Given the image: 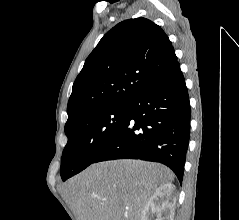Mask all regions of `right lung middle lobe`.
<instances>
[{"label":"right lung middle lobe","mask_w":239,"mask_h":220,"mask_svg":"<svg viewBox=\"0 0 239 220\" xmlns=\"http://www.w3.org/2000/svg\"><path fill=\"white\" fill-rule=\"evenodd\" d=\"M127 117V103L90 112L65 127L68 142L61 160L63 181L81 172L119 130Z\"/></svg>","instance_id":"dd1d6c3e"}]
</instances>
